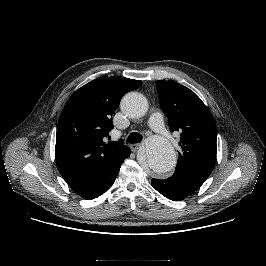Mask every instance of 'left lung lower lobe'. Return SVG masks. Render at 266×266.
<instances>
[{
	"label": "left lung lower lobe",
	"instance_id": "0a47b994",
	"mask_svg": "<svg viewBox=\"0 0 266 266\" xmlns=\"http://www.w3.org/2000/svg\"><path fill=\"white\" fill-rule=\"evenodd\" d=\"M152 186L163 196L173 201H180L194 193L202 182L193 180L178 172L167 179H152Z\"/></svg>",
	"mask_w": 266,
	"mask_h": 266
}]
</instances>
